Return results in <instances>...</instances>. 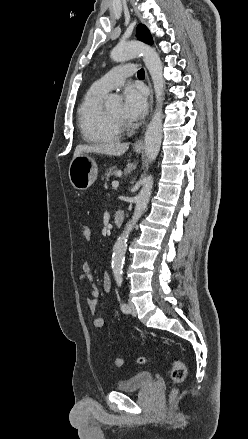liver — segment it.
Returning a JSON list of instances; mask_svg holds the SVG:
<instances>
[{
  "mask_svg": "<svg viewBox=\"0 0 248 439\" xmlns=\"http://www.w3.org/2000/svg\"><path fill=\"white\" fill-rule=\"evenodd\" d=\"M129 149V143L107 142L93 145L79 144L74 151V157L83 153H98L110 156H121ZM73 157V158H74Z\"/></svg>",
  "mask_w": 248,
  "mask_h": 439,
  "instance_id": "6515ba94",
  "label": "liver"
}]
</instances>
